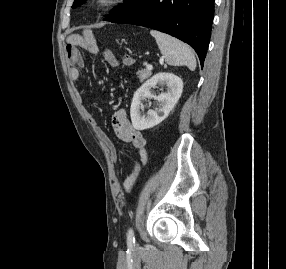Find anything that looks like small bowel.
<instances>
[{"label":"small bowel","instance_id":"small-bowel-1","mask_svg":"<svg viewBox=\"0 0 286 269\" xmlns=\"http://www.w3.org/2000/svg\"><path fill=\"white\" fill-rule=\"evenodd\" d=\"M82 45L91 53H96L98 48L93 40L87 42L83 40L82 42L76 41L75 38H71L66 46V56L70 65L69 76L72 81H78L80 78V68L84 67L85 61L82 55L78 51V46ZM103 61L111 66H119V61L116 58L115 54L110 50H104L102 52ZM125 61V59H124ZM87 120L96 133V135L104 142L109 150L110 160L113 163H116L118 160L117 152L109 139L104 135L103 131L100 129L96 119L90 114H87ZM112 127L118 137L131 145V147L137 151V155L134 158L133 166L130 174L127 176L123 183V188L126 191H131L137 181V176L142 167L147 164L148 153L146 150V139L141 133V131L134 129L127 116L125 109H118L114 112L112 116ZM115 175L118 178L120 175V170L116 169Z\"/></svg>","mask_w":286,"mask_h":269}]
</instances>
